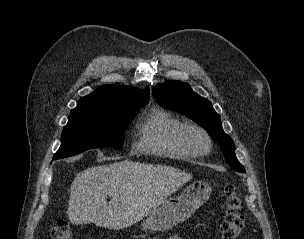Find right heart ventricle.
<instances>
[{
	"label": "right heart ventricle",
	"instance_id": "right-heart-ventricle-1",
	"mask_svg": "<svg viewBox=\"0 0 304 239\" xmlns=\"http://www.w3.org/2000/svg\"><path fill=\"white\" fill-rule=\"evenodd\" d=\"M183 122L161 109L149 112L137 125L138 148L145 153L172 158L189 159L176 141V132Z\"/></svg>",
	"mask_w": 304,
	"mask_h": 239
}]
</instances>
